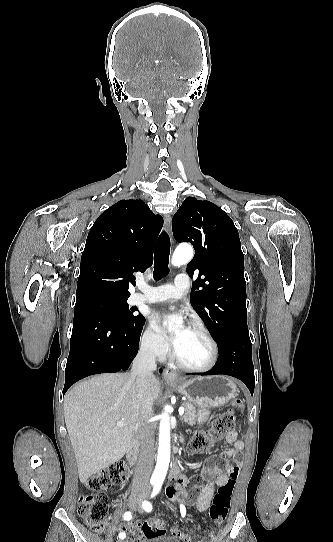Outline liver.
<instances>
[{"label":"liver","instance_id":"liver-1","mask_svg":"<svg viewBox=\"0 0 333 542\" xmlns=\"http://www.w3.org/2000/svg\"><path fill=\"white\" fill-rule=\"evenodd\" d=\"M153 400L161 386L149 384ZM64 418L81 484L125 456L143 418L135 374H101L76 384L64 398ZM124 422V426H117Z\"/></svg>","mask_w":333,"mask_h":542}]
</instances>
